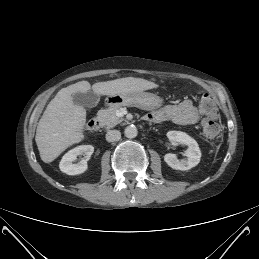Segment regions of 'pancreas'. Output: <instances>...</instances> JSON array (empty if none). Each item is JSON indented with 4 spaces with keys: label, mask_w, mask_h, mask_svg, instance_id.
Instances as JSON below:
<instances>
[{
    "label": "pancreas",
    "mask_w": 259,
    "mask_h": 259,
    "mask_svg": "<svg viewBox=\"0 0 259 259\" xmlns=\"http://www.w3.org/2000/svg\"><path fill=\"white\" fill-rule=\"evenodd\" d=\"M119 108V106H111L108 109L100 110L97 113V118L100 121L101 125L109 129L121 123L124 119L119 118L116 115V111Z\"/></svg>",
    "instance_id": "pancreas-1"
}]
</instances>
